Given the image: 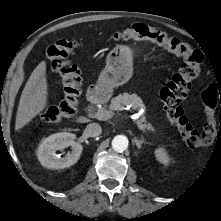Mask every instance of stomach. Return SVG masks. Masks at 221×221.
I'll return each mask as SVG.
<instances>
[{
    "label": "stomach",
    "mask_w": 221,
    "mask_h": 221,
    "mask_svg": "<svg viewBox=\"0 0 221 221\" xmlns=\"http://www.w3.org/2000/svg\"><path fill=\"white\" fill-rule=\"evenodd\" d=\"M133 49L117 45L106 58V66L100 73L98 85L111 90L129 81L133 72Z\"/></svg>",
    "instance_id": "1"
}]
</instances>
